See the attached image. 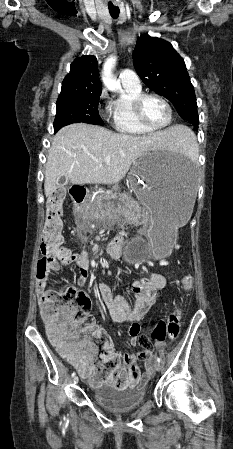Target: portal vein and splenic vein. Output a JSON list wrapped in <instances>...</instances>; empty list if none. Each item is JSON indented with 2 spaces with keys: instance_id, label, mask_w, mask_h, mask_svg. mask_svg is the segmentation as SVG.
Returning <instances> with one entry per match:
<instances>
[{
  "instance_id": "1",
  "label": "portal vein and splenic vein",
  "mask_w": 233,
  "mask_h": 449,
  "mask_svg": "<svg viewBox=\"0 0 233 449\" xmlns=\"http://www.w3.org/2000/svg\"><path fill=\"white\" fill-rule=\"evenodd\" d=\"M110 159H111V157L110 156H107L104 160H103V162H110Z\"/></svg>"
}]
</instances>
